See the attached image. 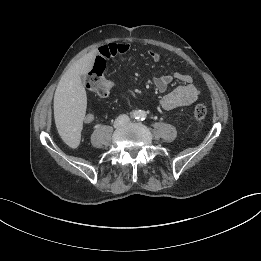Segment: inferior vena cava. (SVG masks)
<instances>
[{
    "instance_id": "602c4592",
    "label": "inferior vena cava",
    "mask_w": 261,
    "mask_h": 261,
    "mask_svg": "<svg viewBox=\"0 0 261 261\" xmlns=\"http://www.w3.org/2000/svg\"><path fill=\"white\" fill-rule=\"evenodd\" d=\"M129 120L130 119H129L128 115L122 114V115L118 116V118L116 119L115 123L117 125H123V124L127 123Z\"/></svg>"
}]
</instances>
